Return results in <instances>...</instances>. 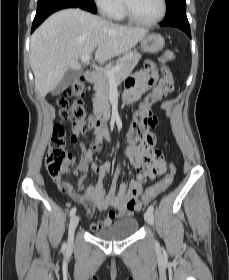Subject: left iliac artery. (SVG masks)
<instances>
[{
  "label": "left iliac artery",
  "mask_w": 229,
  "mask_h": 280,
  "mask_svg": "<svg viewBox=\"0 0 229 280\" xmlns=\"http://www.w3.org/2000/svg\"><path fill=\"white\" fill-rule=\"evenodd\" d=\"M148 210H150V211H154V206L153 205H150L149 207H148Z\"/></svg>",
  "instance_id": "44dca946"
}]
</instances>
